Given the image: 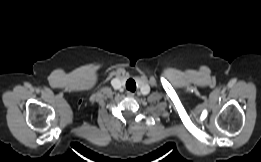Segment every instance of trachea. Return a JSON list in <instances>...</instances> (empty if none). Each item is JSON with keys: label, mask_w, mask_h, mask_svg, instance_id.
I'll use <instances>...</instances> for the list:
<instances>
[{"label": "trachea", "mask_w": 261, "mask_h": 162, "mask_svg": "<svg viewBox=\"0 0 261 162\" xmlns=\"http://www.w3.org/2000/svg\"><path fill=\"white\" fill-rule=\"evenodd\" d=\"M126 88L132 92H134L136 90V83L134 82V80L129 79L126 82Z\"/></svg>", "instance_id": "trachea-1"}]
</instances>
